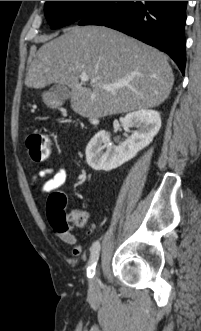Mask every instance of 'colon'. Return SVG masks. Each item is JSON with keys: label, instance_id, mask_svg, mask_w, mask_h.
Listing matches in <instances>:
<instances>
[{"label": "colon", "instance_id": "1", "mask_svg": "<svg viewBox=\"0 0 201 331\" xmlns=\"http://www.w3.org/2000/svg\"><path fill=\"white\" fill-rule=\"evenodd\" d=\"M26 149L35 162L45 161L51 154V141L48 136L40 132L30 133L25 141ZM65 196L61 192H54L49 198V207L52 211H57L65 219L75 222L76 224L83 225L87 220V214L83 211H76L66 215L63 210Z\"/></svg>", "mask_w": 201, "mask_h": 331}]
</instances>
